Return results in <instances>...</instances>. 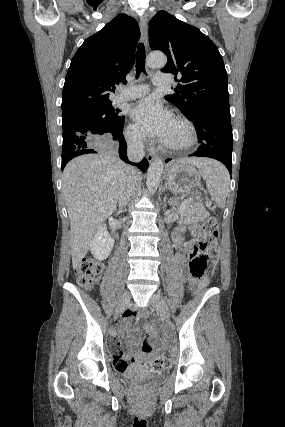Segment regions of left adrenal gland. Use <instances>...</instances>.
Segmentation results:
<instances>
[{
  "label": "left adrenal gland",
  "mask_w": 285,
  "mask_h": 427,
  "mask_svg": "<svg viewBox=\"0 0 285 427\" xmlns=\"http://www.w3.org/2000/svg\"><path fill=\"white\" fill-rule=\"evenodd\" d=\"M165 188H166V189H168V186H167V184H165V186H164V189H165Z\"/></svg>",
  "instance_id": "1"
}]
</instances>
